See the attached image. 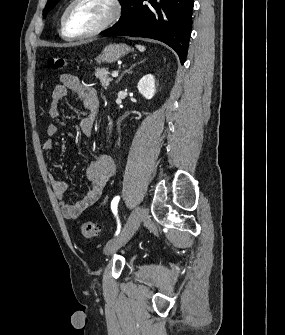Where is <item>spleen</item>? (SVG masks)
Segmentation results:
<instances>
[{
    "instance_id": "obj_1",
    "label": "spleen",
    "mask_w": 285,
    "mask_h": 335,
    "mask_svg": "<svg viewBox=\"0 0 285 335\" xmlns=\"http://www.w3.org/2000/svg\"><path fill=\"white\" fill-rule=\"evenodd\" d=\"M138 48L139 52H145V46H136Z\"/></svg>"
}]
</instances>
